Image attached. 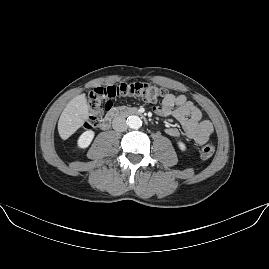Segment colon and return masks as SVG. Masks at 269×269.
<instances>
[{
	"mask_svg": "<svg viewBox=\"0 0 269 269\" xmlns=\"http://www.w3.org/2000/svg\"><path fill=\"white\" fill-rule=\"evenodd\" d=\"M167 95L168 89L166 87L150 82H132L91 88L88 92L90 114L87 121L83 124V129H89L100 120L101 116L106 111L105 103L108 100L121 96H131L146 103H156L164 101ZM214 153V144L207 143L200 151V158L202 160H207L211 158Z\"/></svg>",
	"mask_w": 269,
	"mask_h": 269,
	"instance_id": "colon-1",
	"label": "colon"
}]
</instances>
